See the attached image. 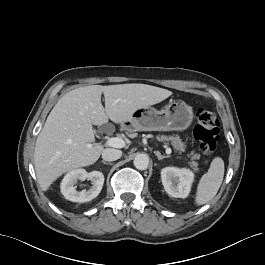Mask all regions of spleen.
I'll use <instances>...</instances> for the list:
<instances>
[{
    "instance_id": "1",
    "label": "spleen",
    "mask_w": 265,
    "mask_h": 265,
    "mask_svg": "<svg viewBox=\"0 0 265 265\" xmlns=\"http://www.w3.org/2000/svg\"><path fill=\"white\" fill-rule=\"evenodd\" d=\"M224 170L223 159L215 157L207 173L201 177L198 183L195 196L196 205H204L216 196L223 181Z\"/></svg>"
}]
</instances>
